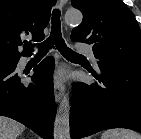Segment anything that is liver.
<instances>
[{
  "mask_svg": "<svg viewBox=\"0 0 141 139\" xmlns=\"http://www.w3.org/2000/svg\"><path fill=\"white\" fill-rule=\"evenodd\" d=\"M25 126L11 118L0 116V139H17Z\"/></svg>",
  "mask_w": 141,
  "mask_h": 139,
  "instance_id": "obj_1",
  "label": "liver"
}]
</instances>
